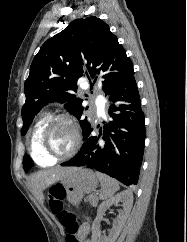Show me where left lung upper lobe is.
I'll return each mask as SVG.
<instances>
[{"mask_svg":"<svg viewBox=\"0 0 187 242\" xmlns=\"http://www.w3.org/2000/svg\"><path fill=\"white\" fill-rule=\"evenodd\" d=\"M133 75L132 61L104 21L95 16L72 21L48 39L33 59L24 86L22 135L42 106L49 102L65 103L64 107L71 114L78 120L81 118L83 100L73 94L77 92L78 78L87 76L93 83L100 81L106 95H111ZM80 125L84 140L91 126L86 118ZM33 165L25 155L24 170L28 171Z\"/></svg>","mask_w":187,"mask_h":242,"instance_id":"obj_1","label":"left lung upper lobe"}]
</instances>
